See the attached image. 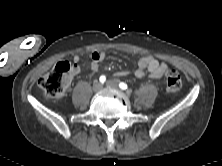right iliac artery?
<instances>
[{"instance_id":"1","label":"right iliac artery","mask_w":222,"mask_h":166,"mask_svg":"<svg viewBox=\"0 0 222 166\" xmlns=\"http://www.w3.org/2000/svg\"><path fill=\"white\" fill-rule=\"evenodd\" d=\"M99 81L104 83L106 81V77L104 75L100 76Z\"/></svg>"}]
</instances>
